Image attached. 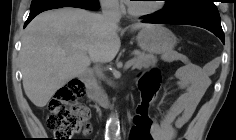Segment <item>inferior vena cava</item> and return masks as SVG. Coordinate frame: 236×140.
Instances as JSON below:
<instances>
[{
	"label": "inferior vena cava",
	"mask_w": 236,
	"mask_h": 140,
	"mask_svg": "<svg viewBox=\"0 0 236 140\" xmlns=\"http://www.w3.org/2000/svg\"><path fill=\"white\" fill-rule=\"evenodd\" d=\"M102 16L106 23H118L120 21L121 15L118 11V4L113 1H105L102 3ZM95 74L98 78H103L104 75L100 68V65H96Z\"/></svg>",
	"instance_id": "inferior-vena-cava-1"
}]
</instances>
